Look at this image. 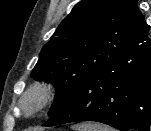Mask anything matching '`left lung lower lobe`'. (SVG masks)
<instances>
[{
    "label": "left lung lower lobe",
    "instance_id": "left-lung-lower-lobe-1",
    "mask_svg": "<svg viewBox=\"0 0 151 131\" xmlns=\"http://www.w3.org/2000/svg\"><path fill=\"white\" fill-rule=\"evenodd\" d=\"M150 26L142 14L131 53L116 67L86 77L42 126L96 121L121 131H149L151 112Z\"/></svg>",
    "mask_w": 151,
    "mask_h": 131
}]
</instances>
